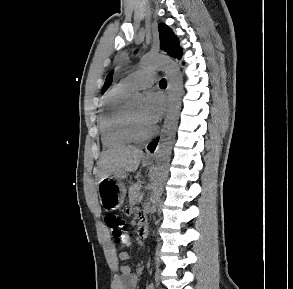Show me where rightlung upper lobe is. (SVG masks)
Masks as SVG:
<instances>
[{
    "label": "right lung upper lobe",
    "mask_w": 293,
    "mask_h": 289,
    "mask_svg": "<svg viewBox=\"0 0 293 289\" xmlns=\"http://www.w3.org/2000/svg\"><path fill=\"white\" fill-rule=\"evenodd\" d=\"M112 80V72L108 75V77L106 78L105 84L103 86L102 92H104L110 85Z\"/></svg>",
    "instance_id": "obj_1"
}]
</instances>
